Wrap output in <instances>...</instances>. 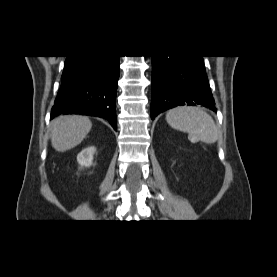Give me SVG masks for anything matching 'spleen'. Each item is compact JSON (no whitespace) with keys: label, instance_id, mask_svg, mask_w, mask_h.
Segmentation results:
<instances>
[{"label":"spleen","instance_id":"3e777b00","mask_svg":"<svg viewBox=\"0 0 277 277\" xmlns=\"http://www.w3.org/2000/svg\"><path fill=\"white\" fill-rule=\"evenodd\" d=\"M167 123L174 129L187 132L192 142L214 143L218 130L212 117L198 107H177L166 114Z\"/></svg>","mask_w":277,"mask_h":277}]
</instances>
